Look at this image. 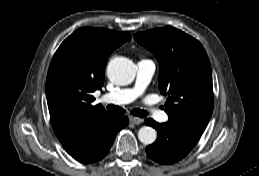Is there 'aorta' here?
I'll return each mask as SVG.
<instances>
[{"label":"aorta","mask_w":259,"mask_h":176,"mask_svg":"<svg viewBox=\"0 0 259 176\" xmlns=\"http://www.w3.org/2000/svg\"><path fill=\"white\" fill-rule=\"evenodd\" d=\"M136 69L134 63L125 57L112 59L107 66V75L110 81L118 85H128L135 77ZM157 132L154 128L144 126L138 131V139L145 145L155 142Z\"/></svg>","instance_id":"1"}]
</instances>
